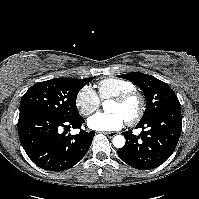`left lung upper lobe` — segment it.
I'll use <instances>...</instances> for the list:
<instances>
[{
  "mask_svg": "<svg viewBox=\"0 0 199 199\" xmlns=\"http://www.w3.org/2000/svg\"><path fill=\"white\" fill-rule=\"evenodd\" d=\"M136 84L146 98V110L140 122L173 107H180V102L172 89L163 81L147 74L132 72L118 75Z\"/></svg>",
  "mask_w": 199,
  "mask_h": 199,
  "instance_id": "obj_1",
  "label": "left lung upper lobe"
}]
</instances>
